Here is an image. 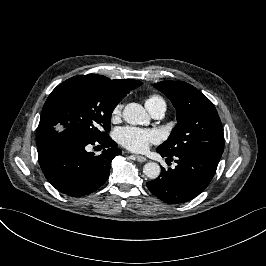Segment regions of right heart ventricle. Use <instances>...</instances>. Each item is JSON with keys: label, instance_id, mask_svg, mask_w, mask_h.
<instances>
[{"label": "right heart ventricle", "instance_id": "1", "mask_svg": "<svg viewBox=\"0 0 266 266\" xmlns=\"http://www.w3.org/2000/svg\"><path fill=\"white\" fill-rule=\"evenodd\" d=\"M146 107L150 112H153L163 106L167 107L165 99L159 94H151L145 99Z\"/></svg>", "mask_w": 266, "mask_h": 266}]
</instances>
